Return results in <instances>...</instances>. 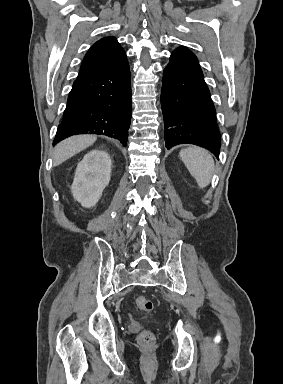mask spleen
I'll return each mask as SVG.
<instances>
[{"mask_svg": "<svg viewBox=\"0 0 283 384\" xmlns=\"http://www.w3.org/2000/svg\"><path fill=\"white\" fill-rule=\"evenodd\" d=\"M179 156L191 176L195 178L198 186L200 188L209 186L215 170L211 154L207 150H203V148H196L194 146V148L181 150Z\"/></svg>", "mask_w": 283, "mask_h": 384, "instance_id": "obj_1", "label": "spleen"}]
</instances>
